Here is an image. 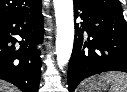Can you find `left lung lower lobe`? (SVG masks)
<instances>
[{"label":"left lung lower lobe","mask_w":127,"mask_h":92,"mask_svg":"<svg viewBox=\"0 0 127 92\" xmlns=\"http://www.w3.org/2000/svg\"><path fill=\"white\" fill-rule=\"evenodd\" d=\"M75 39L68 66L69 92L85 78L106 71L127 72V24L123 14L74 2Z\"/></svg>","instance_id":"1"}]
</instances>
